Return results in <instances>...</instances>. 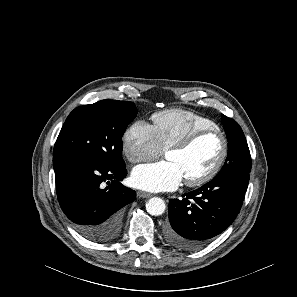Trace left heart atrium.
Returning a JSON list of instances; mask_svg holds the SVG:
<instances>
[{"mask_svg":"<svg viewBox=\"0 0 297 297\" xmlns=\"http://www.w3.org/2000/svg\"><path fill=\"white\" fill-rule=\"evenodd\" d=\"M130 180L133 186L146 191H171L185 180V175L178 163L167 160L135 167Z\"/></svg>","mask_w":297,"mask_h":297,"instance_id":"left-heart-atrium-1","label":"left heart atrium"}]
</instances>
